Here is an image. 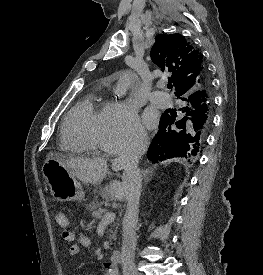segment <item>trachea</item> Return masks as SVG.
Here are the masks:
<instances>
[{
  "label": "trachea",
  "mask_w": 263,
  "mask_h": 275,
  "mask_svg": "<svg viewBox=\"0 0 263 275\" xmlns=\"http://www.w3.org/2000/svg\"><path fill=\"white\" fill-rule=\"evenodd\" d=\"M167 88H168V89H171V88H172L171 82L168 83Z\"/></svg>",
  "instance_id": "obj_1"
}]
</instances>
